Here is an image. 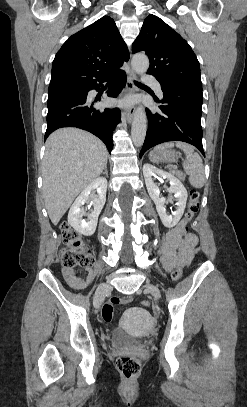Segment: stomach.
<instances>
[{
    "mask_svg": "<svg viewBox=\"0 0 247 407\" xmlns=\"http://www.w3.org/2000/svg\"><path fill=\"white\" fill-rule=\"evenodd\" d=\"M178 157V153L174 150L159 149L153 150L149 154V158L154 163L159 162H174Z\"/></svg>",
    "mask_w": 247,
    "mask_h": 407,
    "instance_id": "1",
    "label": "stomach"
}]
</instances>
